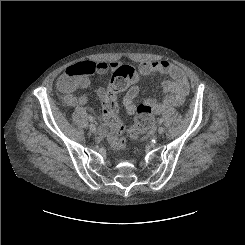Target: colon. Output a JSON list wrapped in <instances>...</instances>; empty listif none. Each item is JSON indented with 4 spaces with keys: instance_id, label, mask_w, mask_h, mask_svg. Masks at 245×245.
<instances>
[{
    "instance_id": "5ec220e1",
    "label": "colon",
    "mask_w": 245,
    "mask_h": 245,
    "mask_svg": "<svg viewBox=\"0 0 245 245\" xmlns=\"http://www.w3.org/2000/svg\"><path fill=\"white\" fill-rule=\"evenodd\" d=\"M96 66L92 62H79L68 68L70 75L61 81V87L65 91L74 90L83 85V79L95 72ZM139 80L138 73L130 67H123L111 80L109 94L103 101V117L110 128L109 141L115 149H123L126 146V140L123 134L130 132L132 134L143 133L150 129L154 122L153 113L149 104H140L137 107L135 124L132 130H127L119 116V107L116 102V95L135 84Z\"/></svg>"
}]
</instances>
